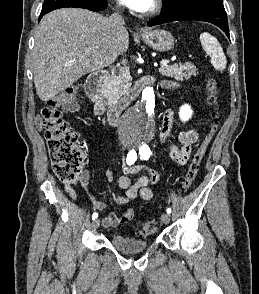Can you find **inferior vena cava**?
<instances>
[{"mask_svg":"<svg viewBox=\"0 0 259 294\" xmlns=\"http://www.w3.org/2000/svg\"><path fill=\"white\" fill-rule=\"evenodd\" d=\"M108 23L113 32L118 33L124 29V19L120 12H114L109 18Z\"/></svg>","mask_w":259,"mask_h":294,"instance_id":"inferior-vena-cava-1","label":"inferior vena cava"}]
</instances>
